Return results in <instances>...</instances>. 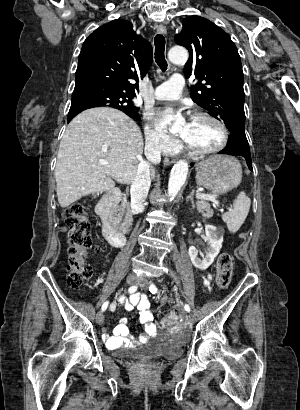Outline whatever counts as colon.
I'll return each instance as SVG.
<instances>
[{
    "mask_svg": "<svg viewBox=\"0 0 300 410\" xmlns=\"http://www.w3.org/2000/svg\"><path fill=\"white\" fill-rule=\"evenodd\" d=\"M64 221L69 231L67 282L71 287H79L92 275L91 267L86 263L88 250L92 246L90 227L84 207L81 203H73L65 210ZM233 275V258L227 251L220 253L217 259L216 284L226 289ZM178 321L177 314L169 313L165 318V326H174Z\"/></svg>",
    "mask_w": 300,
    "mask_h": 410,
    "instance_id": "1",
    "label": "colon"
}]
</instances>
